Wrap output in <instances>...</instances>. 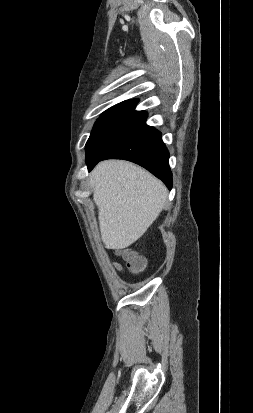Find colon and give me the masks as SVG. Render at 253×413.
Wrapping results in <instances>:
<instances>
[{
  "mask_svg": "<svg viewBox=\"0 0 253 413\" xmlns=\"http://www.w3.org/2000/svg\"><path fill=\"white\" fill-rule=\"evenodd\" d=\"M127 262L128 268L135 274L141 273L145 268V260L137 253L130 250H118Z\"/></svg>",
  "mask_w": 253,
  "mask_h": 413,
  "instance_id": "colon-1",
  "label": "colon"
}]
</instances>
